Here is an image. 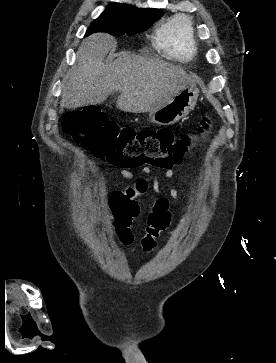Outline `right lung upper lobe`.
I'll return each mask as SVG.
<instances>
[{
  "instance_id": "cb5924a9",
  "label": "right lung upper lobe",
  "mask_w": 276,
  "mask_h": 363,
  "mask_svg": "<svg viewBox=\"0 0 276 363\" xmlns=\"http://www.w3.org/2000/svg\"><path fill=\"white\" fill-rule=\"evenodd\" d=\"M110 6L129 7V5H128V6H126V5L117 4V3H113V4H112V5H110Z\"/></svg>"
}]
</instances>
